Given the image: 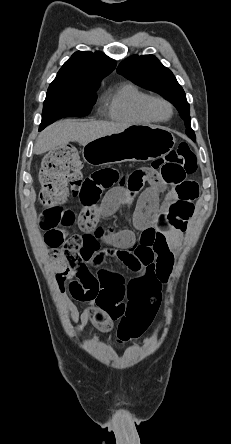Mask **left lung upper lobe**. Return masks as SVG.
I'll return each mask as SVG.
<instances>
[{"label": "left lung upper lobe", "instance_id": "obj_1", "mask_svg": "<svg viewBox=\"0 0 231 444\" xmlns=\"http://www.w3.org/2000/svg\"><path fill=\"white\" fill-rule=\"evenodd\" d=\"M117 72L133 83L170 100L185 120L186 134L195 140V133L190 126V105L186 100L185 92L173 73L155 56L133 55L118 66Z\"/></svg>", "mask_w": 231, "mask_h": 444}]
</instances>
